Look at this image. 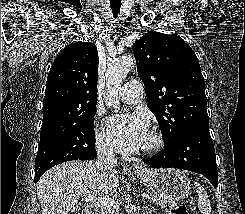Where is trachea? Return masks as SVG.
Masks as SVG:
<instances>
[{"label": "trachea", "instance_id": "trachea-1", "mask_svg": "<svg viewBox=\"0 0 245 214\" xmlns=\"http://www.w3.org/2000/svg\"><path fill=\"white\" fill-rule=\"evenodd\" d=\"M110 6H111V9H112L113 15L116 18L117 15L120 12L121 3H118V4H110Z\"/></svg>", "mask_w": 245, "mask_h": 214}]
</instances>
